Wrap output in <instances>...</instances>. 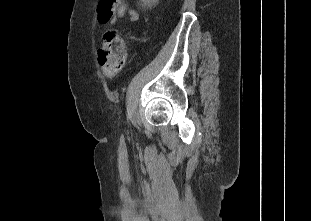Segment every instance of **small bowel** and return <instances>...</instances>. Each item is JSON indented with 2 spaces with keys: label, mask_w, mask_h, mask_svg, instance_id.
<instances>
[{
  "label": "small bowel",
  "mask_w": 311,
  "mask_h": 221,
  "mask_svg": "<svg viewBox=\"0 0 311 221\" xmlns=\"http://www.w3.org/2000/svg\"><path fill=\"white\" fill-rule=\"evenodd\" d=\"M118 19L135 22L139 19V13L136 9L130 7L126 3L118 2L115 7V13L112 22L114 23Z\"/></svg>",
  "instance_id": "obj_1"
}]
</instances>
